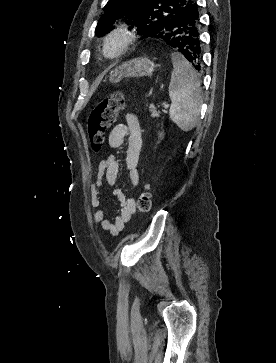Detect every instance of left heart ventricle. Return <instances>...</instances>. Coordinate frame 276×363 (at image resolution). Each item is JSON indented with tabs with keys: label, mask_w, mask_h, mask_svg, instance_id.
I'll list each match as a JSON object with an SVG mask.
<instances>
[{
	"label": "left heart ventricle",
	"mask_w": 276,
	"mask_h": 363,
	"mask_svg": "<svg viewBox=\"0 0 276 363\" xmlns=\"http://www.w3.org/2000/svg\"><path fill=\"white\" fill-rule=\"evenodd\" d=\"M119 45H120V41H119V39H112V40L108 43V47H107V49H108V51H109L110 53H113V52H115V51L118 49Z\"/></svg>",
	"instance_id": "b2bd125f"
}]
</instances>
